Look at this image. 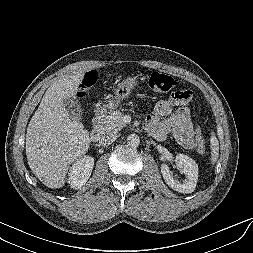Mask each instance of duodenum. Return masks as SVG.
<instances>
[{
  "label": "duodenum",
  "mask_w": 253,
  "mask_h": 253,
  "mask_svg": "<svg viewBox=\"0 0 253 253\" xmlns=\"http://www.w3.org/2000/svg\"><path fill=\"white\" fill-rule=\"evenodd\" d=\"M104 125V114L102 112H98L95 114L92 123V131L90 134L91 141H97L99 136L101 135L102 128Z\"/></svg>",
  "instance_id": "1"
}]
</instances>
